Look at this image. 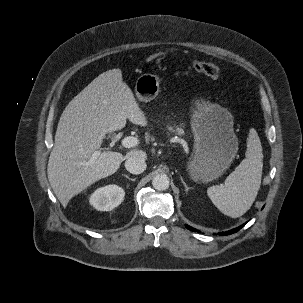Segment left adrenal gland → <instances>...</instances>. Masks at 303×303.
I'll return each mask as SVG.
<instances>
[{"mask_svg": "<svg viewBox=\"0 0 303 303\" xmlns=\"http://www.w3.org/2000/svg\"><path fill=\"white\" fill-rule=\"evenodd\" d=\"M181 182L183 183L184 187H185V191L188 192L189 191V187L187 186V184L185 183V181L183 180L182 176H180Z\"/></svg>", "mask_w": 303, "mask_h": 303, "instance_id": "obj_1", "label": "left adrenal gland"}]
</instances>
